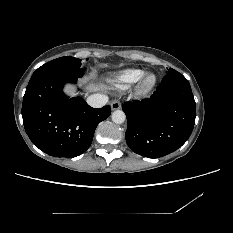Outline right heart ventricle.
Here are the masks:
<instances>
[{"label":"right heart ventricle","instance_id":"1","mask_svg":"<svg viewBox=\"0 0 233 233\" xmlns=\"http://www.w3.org/2000/svg\"><path fill=\"white\" fill-rule=\"evenodd\" d=\"M143 75L144 70L142 69H125L111 76L109 83L117 89L125 90L137 83Z\"/></svg>","mask_w":233,"mask_h":233}]
</instances>
